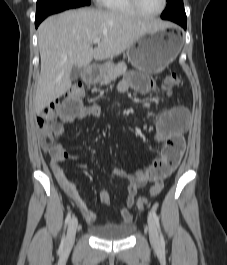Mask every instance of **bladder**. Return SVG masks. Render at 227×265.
Segmentation results:
<instances>
[{"mask_svg": "<svg viewBox=\"0 0 227 265\" xmlns=\"http://www.w3.org/2000/svg\"><path fill=\"white\" fill-rule=\"evenodd\" d=\"M88 231L91 235L101 240L119 241L129 238L135 231V225L133 223L122 225H91L88 227Z\"/></svg>", "mask_w": 227, "mask_h": 265, "instance_id": "bladder-1", "label": "bladder"}]
</instances>
